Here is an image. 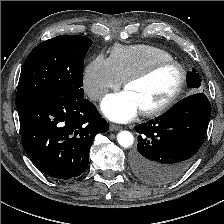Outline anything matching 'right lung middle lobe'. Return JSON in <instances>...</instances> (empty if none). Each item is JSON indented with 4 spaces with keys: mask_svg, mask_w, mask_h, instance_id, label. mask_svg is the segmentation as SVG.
<instances>
[{
    "mask_svg": "<svg viewBox=\"0 0 224 224\" xmlns=\"http://www.w3.org/2000/svg\"><path fill=\"white\" fill-rule=\"evenodd\" d=\"M91 44L85 36L61 35L37 45L21 71L16 107L48 93L84 97L83 64Z\"/></svg>",
    "mask_w": 224,
    "mask_h": 224,
    "instance_id": "obj_1",
    "label": "right lung middle lobe"
}]
</instances>
